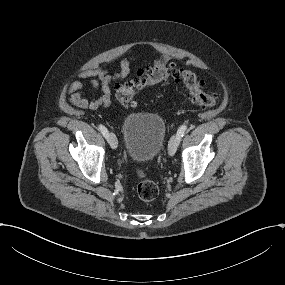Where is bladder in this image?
Returning <instances> with one entry per match:
<instances>
[{
    "label": "bladder",
    "mask_w": 285,
    "mask_h": 285,
    "mask_svg": "<svg viewBox=\"0 0 285 285\" xmlns=\"http://www.w3.org/2000/svg\"><path fill=\"white\" fill-rule=\"evenodd\" d=\"M164 118L156 113L133 112L124 117L122 143L131 161L150 162L163 149L166 140Z\"/></svg>",
    "instance_id": "1"
}]
</instances>
